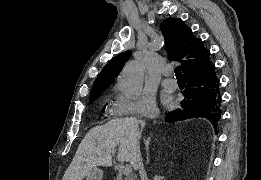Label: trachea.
Segmentation results:
<instances>
[{"label": "trachea", "mask_w": 261, "mask_h": 180, "mask_svg": "<svg viewBox=\"0 0 261 180\" xmlns=\"http://www.w3.org/2000/svg\"><path fill=\"white\" fill-rule=\"evenodd\" d=\"M174 73H175L177 79H183V75L181 73L180 67H176L174 70Z\"/></svg>", "instance_id": "trachea-1"}]
</instances>
